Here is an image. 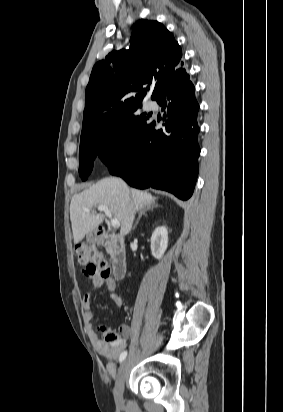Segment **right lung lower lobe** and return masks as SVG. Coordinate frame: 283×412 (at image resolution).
Masks as SVG:
<instances>
[{"instance_id": "98d812e1", "label": "right lung lower lobe", "mask_w": 283, "mask_h": 412, "mask_svg": "<svg viewBox=\"0 0 283 412\" xmlns=\"http://www.w3.org/2000/svg\"><path fill=\"white\" fill-rule=\"evenodd\" d=\"M156 101L165 110V128L158 130L155 122H147L127 154L108 164L109 170L133 187L162 189L187 200L196 183L200 154L195 88L189 78L172 83Z\"/></svg>"}]
</instances>
